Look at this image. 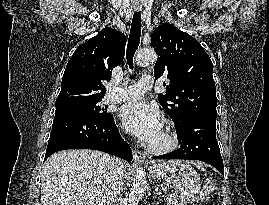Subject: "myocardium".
Instances as JSON below:
<instances>
[{
	"label": "myocardium",
	"instance_id": "f54148a6",
	"mask_svg": "<svg viewBox=\"0 0 269 205\" xmlns=\"http://www.w3.org/2000/svg\"><path fill=\"white\" fill-rule=\"evenodd\" d=\"M165 141L162 144H150L148 150L157 155L167 154L175 150L179 144L178 136L171 121L166 120L163 124Z\"/></svg>",
	"mask_w": 269,
	"mask_h": 205
}]
</instances>
